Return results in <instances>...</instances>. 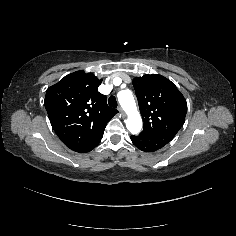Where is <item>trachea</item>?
I'll return each instance as SVG.
<instances>
[{"mask_svg":"<svg viewBox=\"0 0 236 236\" xmlns=\"http://www.w3.org/2000/svg\"><path fill=\"white\" fill-rule=\"evenodd\" d=\"M108 104L110 107L112 108H116L117 107V100H116V97L115 96H110L109 99H108Z\"/></svg>","mask_w":236,"mask_h":236,"instance_id":"3493384b","label":"trachea"}]
</instances>
